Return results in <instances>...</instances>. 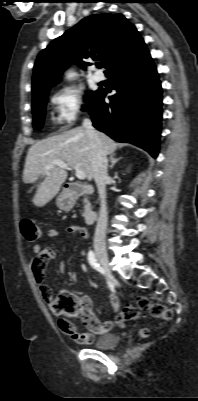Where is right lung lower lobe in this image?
<instances>
[{"instance_id":"obj_1","label":"right lung lower lobe","mask_w":198,"mask_h":401,"mask_svg":"<svg viewBox=\"0 0 198 401\" xmlns=\"http://www.w3.org/2000/svg\"><path fill=\"white\" fill-rule=\"evenodd\" d=\"M106 75L117 93L104 102L108 90L100 89L87 110L93 126L119 142H129L159 152L162 90L156 66L146 45L115 65Z\"/></svg>"}]
</instances>
